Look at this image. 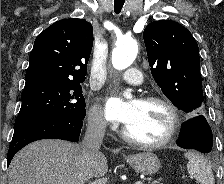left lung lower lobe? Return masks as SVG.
<instances>
[{
    "label": "left lung lower lobe",
    "mask_w": 224,
    "mask_h": 184,
    "mask_svg": "<svg viewBox=\"0 0 224 184\" xmlns=\"http://www.w3.org/2000/svg\"><path fill=\"white\" fill-rule=\"evenodd\" d=\"M177 145L185 149H196L209 153L213 145L211 128L203 115H195L182 125Z\"/></svg>",
    "instance_id": "1"
}]
</instances>
